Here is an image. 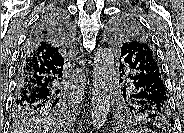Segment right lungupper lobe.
Segmentation results:
<instances>
[{
	"label": "right lung upper lobe",
	"instance_id": "1",
	"mask_svg": "<svg viewBox=\"0 0 184 133\" xmlns=\"http://www.w3.org/2000/svg\"><path fill=\"white\" fill-rule=\"evenodd\" d=\"M34 36L40 39L41 47L49 53L59 52L65 46L64 38L49 27L34 29L28 37V40Z\"/></svg>",
	"mask_w": 184,
	"mask_h": 133
}]
</instances>
